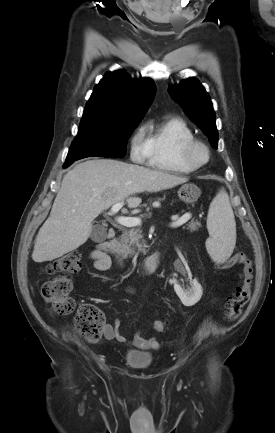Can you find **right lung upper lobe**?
Returning <instances> with one entry per match:
<instances>
[{"label": "right lung upper lobe", "instance_id": "obj_1", "mask_svg": "<svg viewBox=\"0 0 275 433\" xmlns=\"http://www.w3.org/2000/svg\"><path fill=\"white\" fill-rule=\"evenodd\" d=\"M154 93L155 84L150 78L135 80L121 70L107 72L94 87L81 122L140 121Z\"/></svg>", "mask_w": 275, "mask_h": 433}]
</instances>
